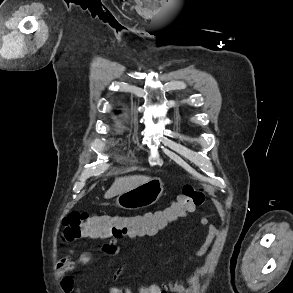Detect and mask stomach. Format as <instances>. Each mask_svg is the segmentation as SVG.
I'll return each instance as SVG.
<instances>
[{"instance_id":"obj_1","label":"stomach","mask_w":293,"mask_h":293,"mask_svg":"<svg viewBox=\"0 0 293 293\" xmlns=\"http://www.w3.org/2000/svg\"><path fill=\"white\" fill-rule=\"evenodd\" d=\"M164 184L160 178L147 182L121 193L116 198V205L126 210H137L155 204L161 197Z\"/></svg>"}]
</instances>
